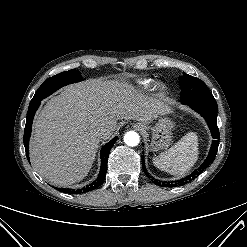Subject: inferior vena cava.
Returning <instances> with one entry per match:
<instances>
[{
	"label": "inferior vena cava",
	"instance_id": "obj_1",
	"mask_svg": "<svg viewBox=\"0 0 247 247\" xmlns=\"http://www.w3.org/2000/svg\"><path fill=\"white\" fill-rule=\"evenodd\" d=\"M108 130L104 127V126H98L94 129V133L98 136V137H103L106 132Z\"/></svg>",
	"mask_w": 247,
	"mask_h": 247
}]
</instances>
